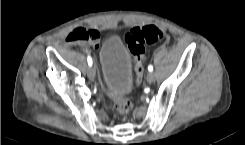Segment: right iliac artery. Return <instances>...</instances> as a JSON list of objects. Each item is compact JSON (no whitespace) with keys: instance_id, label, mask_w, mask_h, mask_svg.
Wrapping results in <instances>:
<instances>
[{"instance_id":"82829eb1","label":"right iliac artery","mask_w":245,"mask_h":145,"mask_svg":"<svg viewBox=\"0 0 245 145\" xmlns=\"http://www.w3.org/2000/svg\"><path fill=\"white\" fill-rule=\"evenodd\" d=\"M87 61H88V65H89V66H92V59H91L90 56H88Z\"/></svg>"}]
</instances>
